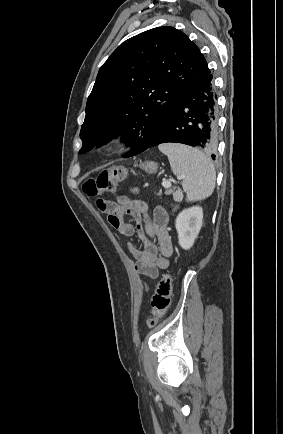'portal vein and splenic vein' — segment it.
<instances>
[{"label":"portal vein and splenic vein","mask_w":283,"mask_h":434,"mask_svg":"<svg viewBox=\"0 0 283 434\" xmlns=\"http://www.w3.org/2000/svg\"><path fill=\"white\" fill-rule=\"evenodd\" d=\"M162 186L165 188H169L171 186V183L169 181L163 180Z\"/></svg>","instance_id":"18ae733b"}]
</instances>
